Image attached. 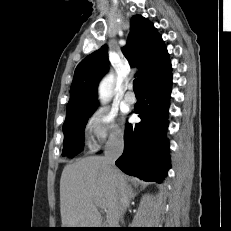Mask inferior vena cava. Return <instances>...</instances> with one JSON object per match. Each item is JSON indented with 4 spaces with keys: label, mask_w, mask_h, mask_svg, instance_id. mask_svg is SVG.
Wrapping results in <instances>:
<instances>
[{
    "label": "inferior vena cava",
    "mask_w": 231,
    "mask_h": 231,
    "mask_svg": "<svg viewBox=\"0 0 231 231\" xmlns=\"http://www.w3.org/2000/svg\"><path fill=\"white\" fill-rule=\"evenodd\" d=\"M123 135L121 133H113L110 135L105 151L104 161L106 163L109 172H115V161L123 152ZM128 204V192L122 187H119L118 198H117V211L119 217L122 219Z\"/></svg>",
    "instance_id": "1"
}]
</instances>
